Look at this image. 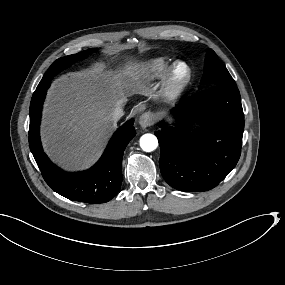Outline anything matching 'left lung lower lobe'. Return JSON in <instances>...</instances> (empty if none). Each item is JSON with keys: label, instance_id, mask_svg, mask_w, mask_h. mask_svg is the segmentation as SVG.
I'll return each instance as SVG.
<instances>
[{"label": "left lung lower lobe", "instance_id": "left-lung-lower-lobe-1", "mask_svg": "<svg viewBox=\"0 0 285 285\" xmlns=\"http://www.w3.org/2000/svg\"><path fill=\"white\" fill-rule=\"evenodd\" d=\"M176 127L160 123V170L173 188L200 192L216 187L237 164L244 114L237 85H215L186 98L173 108ZM196 119L198 134L186 131L185 120Z\"/></svg>", "mask_w": 285, "mask_h": 285}]
</instances>
